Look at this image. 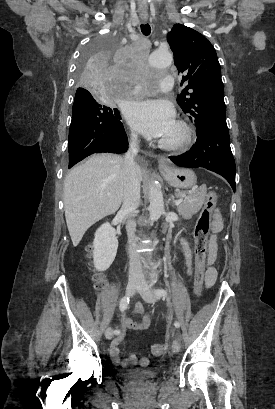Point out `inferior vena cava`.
<instances>
[{"instance_id": "1", "label": "inferior vena cava", "mask_w": 275, "mask_h": 409, "mask_svg": "<svg viewBox=\"0 0 275 409\" xmlns=\"http://www.w3.org/2000/svg\"><path fill=\"white\" fill-rule=\"evenodd\" d=\"M137 136L135 132L131 134V142L129 144V150H127L124 156V192H123V205L121 213H125L126 217L130 219L126 225V231L128 235L129 243V279L130 281H145L142 265L140 263L139 253L136 251V239H135V223L131 217H135L136 209L140 202V180H139V166L134 160L138 152Z\"/></svg>"}]
</instances>
